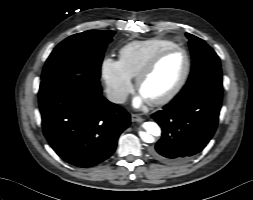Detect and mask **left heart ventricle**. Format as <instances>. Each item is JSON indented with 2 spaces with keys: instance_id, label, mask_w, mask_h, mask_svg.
Returning <instances> with one entry per match:
<instances>
[{
  "instance_id": "b2bd125f",
  "label": "left heart ventricle",
  "mask_w": 253,
  "mask_h": 200,
  "mask_svg": "<svg viewBox=\"0 0 253 200\" xmlns=\"http://www.w3.org/2000/svg\"><path fill=\"white\" fill-rule=\"evenodd\" d=\"M186 68V58L182 52L175 51L165 56L154 71L139 87V92L153 101L167 95L178 84Z\"/></svg>"
}]
</instances>
